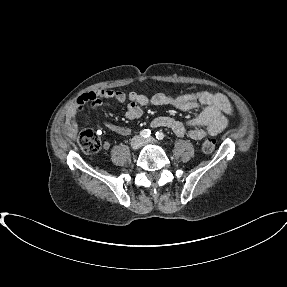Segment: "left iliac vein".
<instances>
[{
  "label": "left iliac vein",
  "mask_w": 287,
  "mask_h": 287,
  "mask_svg": "<svg viewBox=\"0 0 287 287\" xmlns=\"http://www.w3.org/2000/svg\"><path fill=\"white\" fill-rule=\"evenodd\" d=\"M156 142H157L156 139H154L153 137L143 140V144L156 143Z\"/></svg>",
  "instance_id": "obj_1"
}]
</instances>
